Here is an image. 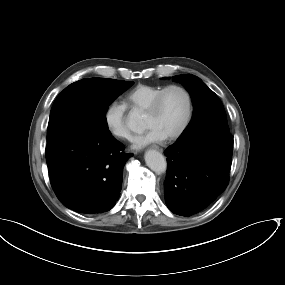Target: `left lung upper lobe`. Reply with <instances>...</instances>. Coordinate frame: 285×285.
Instances as JSON below:
<instances>
[{
  "label": "left lung upper lobe",
  "mask_w": 285,
  "mask_h": 285,
  "mask_svg": "<svg viewBox=\"0 0 285 285\" xmlns=\"http://www.w3.org/2000/svg\"><path fill=\"white\" fill-rule=\"evenodd\" d=\"M173 80L186 87L194 104L192 119L177 141L201 132L221 131L230 133L221 100L200 78L191 74H184L174 76Z\"/></svg>",
  "instance_id": "obj_1"
}]
</instances>
